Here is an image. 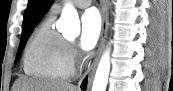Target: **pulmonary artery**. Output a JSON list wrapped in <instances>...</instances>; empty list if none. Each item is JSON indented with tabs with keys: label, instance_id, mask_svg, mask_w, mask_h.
I'll use <instances>...</instances> for the list:
<instances>
[{
	"label": "pulmonary artery",
	"instance_id": "1",
	"mask_svg": "<svg viewBox=\"0 0 173 91\" xmlns=\"http://www.w3.org/2000/svg\"><path fill=\"white\" fill-rule=\"evenodd\" d=\"M91 0H76V1H72V3L79 7V8H86L88 7L90 4H91ZM53 11L54 12H59L60 11V5H56L54 8H53Z\"/></svg>",
	"mask_w": 173,
	"mask_h": 91
}]
</instances>
